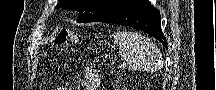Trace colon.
Listing matches in <instances>:
<instances>
[{
	"label": "colon",
	"mask_w": 216,
	"mask_h": 90,
	"mask_svg": "<svg viewBox=\"0 0 216 90\" xmlns=\"http://www.w3.org/2000/svg\"><path fill=\"white\" fill-rule=\"evenodd\" d=\"M73 43V36L70 32L63 30L61 31L54 41L55 47H65Z\"/></svg>",
	"instance_id": "colon-1"
}]
</instances>
